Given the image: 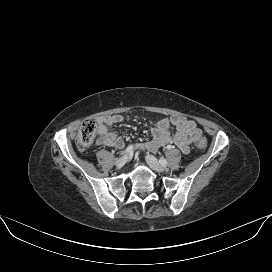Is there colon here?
<instances>
[{"label": "colon", "mask_w": 272, "mask_h": 272, "mask_svg": "<svg viewBox=\"0 0 272 272\" xmlns=\"http://www.w3.org/2000/svg\"><path fill=\"white\" fill-rule=\"evenodd\" d=\"M97 136L98 132L96 122L93 119H87L80 126L76 137V143L81 148H90L96 142ZM206 146L207 141L205 139H201L197 143V147L199 149H205Z\"/></svg>", "instance_id": "obj_1"}]
</instances>
